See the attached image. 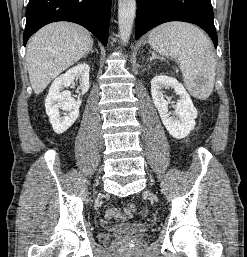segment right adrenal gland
<instances>
[{"label":"right adrenal gland","mask_w":247,"mask_h":257,"mask_svg":"<svg viewBox=\"0 0 247 257\" xmlns=\"http://www.w3.org/2000/svg\"><path fill=\"white\" fill-rule=\"evenodd\" d=\"M89 53H94L93 45L90 47L89 51H87V53L84 55V58H86Z\"/></svg>","instance_id":"right-adrenal-gland-1"}]
</instances>
